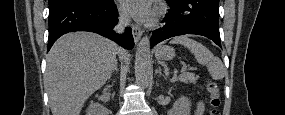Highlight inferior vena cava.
<instances>
[{
  "instance_id": "1",
  "label": "inferior vena cava",
  "mask_w": 285,
  "mask_h": 115,
  "mask_svg": "<svg viewBox=\"0 0 285 115\" xmlns=\"http://www.w3.org/2000/svg\"><path fill=\"white\" fill-rule=\"evenodd\" d=\"M130 20L129 17L127 15H120L119 17V23L117 26H115L114 30L117 33H123L125 27L129 24Z\"/></svg>"
}]
</instances>
